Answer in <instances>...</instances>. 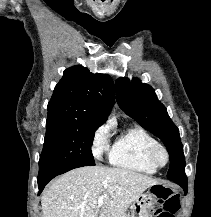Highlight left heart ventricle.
Returning <instances> with one entry per match:
<instances>
[{"label":"left heart ventricle","mask_w":211,"mask_h":217,"mask_svg":"<svg viewBox=\"0 0 211 217\" xmlns=\"http://www.w3.org/2000/svg\"><path fill=\"white\" fill-rule=\"evenodd\" d=\"M158 160L162 163L164 161V156L162 154H158Z\"/></svg>","instance_id":"1"}]
</instances>
